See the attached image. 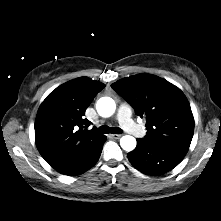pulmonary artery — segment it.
Masks as SVG:
<instances>
[{
  "instance_id": "obj_1",
  "label": "pulmonary artery",
  "mask_w": 221,
  "mask_h": 221,
  "mask_svg": "<svg viewBox=\"0 0 221 221\" xmlns=\"http://www.w3.org/2000/svg\"><path fill=\"white\" fill-rule=\"evenodd\" d=\"M117 120L122 128L130 134L136 137L143 136V130L131 118V109L128 105H120L117 112Z\"/></svg>"
}]
</instances>
